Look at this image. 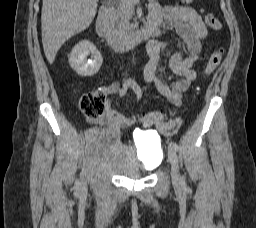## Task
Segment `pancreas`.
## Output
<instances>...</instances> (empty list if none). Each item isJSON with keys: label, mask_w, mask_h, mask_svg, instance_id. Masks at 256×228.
Here are the masks:
<instances>
[{"label": "pancreas", "mask_w": 256, "mask_h": 228, "mask_svg": "<svg viewBox=\"0 0 256 228\" xmlns=\"http://www.w3.org/2000/svg\"><path fill=\"white\" fill-rule=\"evenodd\" d=\"M134 4H135L134 2H130V1L129 2L121 1L119 3L118 12H117V23H118V30L120 32L127 31L135 27L134 24L130 23V20L135 15Z\"/></svg>", "instance_id": "pancreas-1"}]
</instances>
